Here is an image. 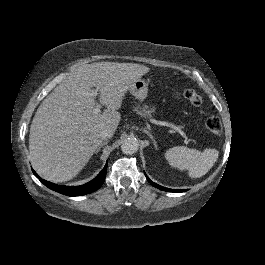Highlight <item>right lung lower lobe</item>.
Masks as SVG:
<instances>
[{"label": "right lung lower lobe", "mask_w": 265, "mask_h": 265, "mask_svg": "<svg viewBox=\"0 0 265 265\" xmlns=\"http://www.w3.org/2000/svg\"><path fill=\"white\" fill-rule=\"evenodd\" d=\"M107 165L108 163L105 165V167L102 169V171L98 174L96 178H94L92 181L84 185H81V186L56 185L54 183L41 179L34 170H33V173L45 186H47L48 188L58 193H61L67 196H80V195H86L93 191H96L102 186L105 180V176H106Z\"/></svg>", "instance_id": "right-lung-lower-lobe-1"}]
</instances>
